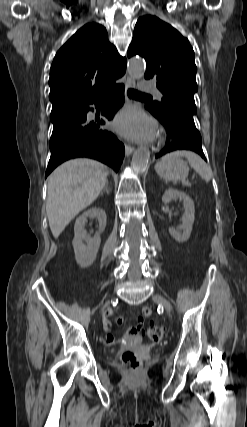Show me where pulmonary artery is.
Returning <instances> with one entry per match:
<instances>
[{
    "label": "pulmonary artery",
    "mask_w": 247,
    "mask_h": 427,
    "mask_svg": "<svg viewBox=\"0 0 247 427\" xmlns=\"http://www.w3.org/2000/svg\"><path fill=\"white\" fill-rule=\"evenodd\" d=\"M142 89H143L144 91H149V92H153V93H155V94L157 95V97H159V98H161V97H162L161 92H160V91H158V90H157V88H156L154 85L150 84V83H144V84L142 85Z\"/></svg>",
    "instance_id": "pulmonary-artery-1"
}]
</instances>
